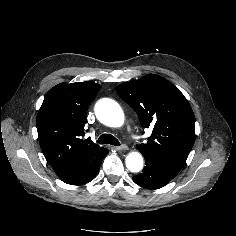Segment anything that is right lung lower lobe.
Segmentation results:
<instances>
[{
    "label": "right lung lower lobe",
    "mask_w": 236,
    "mask_h": 236,
    "mask_svg": "<svg viewBox=\"0 0 236 236\" xmlns=\"http://www.w3.org/2000/svg\"><path fill=\"white\" fill-rule=\"evenodd\" d=\"M107 153L108 151L104 153L101 157H99L95 162L88 164L84 168V171L78 174L77 176L63 181L67 184H74V185H84L90 182L98 174L101 162Z\"/></svg>",
    "instance_id": "obj_1"
}]
</instances>
